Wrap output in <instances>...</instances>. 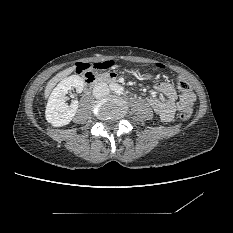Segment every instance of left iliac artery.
<instances>
[{
  "label": "left iliac artery",
  "mask_w": 233,
  "mask_h": 233,
  "mask_svg": "<svg viewBox=\"0 0 233 233\" xmlns=\"http://www.w3.org/2000/svg\"><path fill=\"white\" fill-rule=\"evenodd\" d=\"M116 93H117L118 95H123V94H124V89H123V87H121V86L117 87Z\"/></svg>",
  "instance_id": "1"
}]
</instances>
